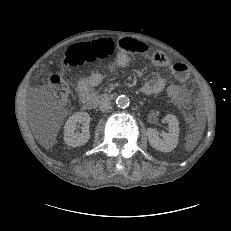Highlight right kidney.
<instances>
[{"label": "right kidney", "instance_id": "ca27d5eb", "mask_svg": "<svg viewBox=\"0 0 231 231\" xmlns=\"http://www.w3.org/2000/svg\"><path fill=\"white\" fill-rule=\"evenodd\" d=\"M77 123L83 125L81 133H75ZM90 115L87 112H77L69 117L64 126V141L68 146L79 147L88 142Z\"/></svg>", "mask_w": 231, "mask_h": 231}]
</instances>
